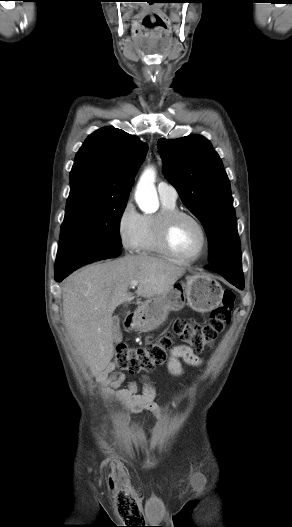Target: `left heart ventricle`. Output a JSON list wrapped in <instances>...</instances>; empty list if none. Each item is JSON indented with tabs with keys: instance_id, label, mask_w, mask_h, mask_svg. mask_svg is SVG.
<instances>
[{
	"instance_id": "obj_1",
	"label": "left heart ventricle",
	"mask_w": 292,
	"mask_h": 527,
	"mask_svg": "<svg viewBox=\"0 0 292 527\" xmlns=\"http://www.w3.org/2000/svg\"><path fill=\"white\" fill-rule=\"evenodd\" d=\"M173 249L183 257H193L201 249L202 235L192 220L182 217L175 221L170 232Z\"/></svg>"
}]
</instances>
